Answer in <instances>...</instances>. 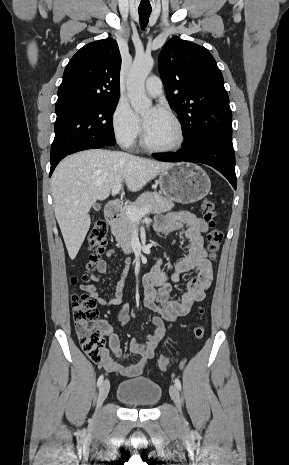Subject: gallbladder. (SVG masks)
Masks as SVG:
<instances>
[{"label":"gallbladder","instance_id":"bac80fb5","mask_svg":"<svg viewBox=\"0 0 289 465\" xmlns=\"http://www.w3.org/2000/svg\"><path fill=\"white\" fill-rule=\"evenodd\" d=\"M93 207H94L95 210H99V209H100V206H99L98 204L93 205Z\"/></svg>","mask_w":289,"mask_h":465}]
</instances>
